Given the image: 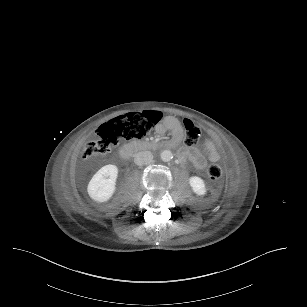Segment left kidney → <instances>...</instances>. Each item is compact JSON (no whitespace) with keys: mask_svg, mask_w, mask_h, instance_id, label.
<instances>
[{"mask_svg":"<svg viewBox=\"0 0 307 307\" xmlns=\"http://www.w3.org/2000/svg\"><path fill=\"white\" fill-rule=\"evenodd\" d=\"M189 184L192 187L194 193L197 195H204L206 193L205 183L200 177H190Z\"/></svg>","mask_w":307,"mask_h":307,"instance_id":"1","label":"left kidney"}]
</instances>
